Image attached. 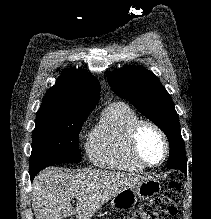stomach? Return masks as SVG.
Masks as SVG:
<instances>
[{
    "instance_id": "stomach-1",
    "label": "stomach",
    "mask_w": 211,
    "mask_h": 219,
    "mask_svg": "<svg viewBox=\"0 0 211 219\" xmlns=\"http://www.w3.org/2000/svg\"><path fill=\"white\" fill-rule=\"evenodd\" d=\"M161 190L160 182L155 178H149L131 188L122 190L111 199V207L117 211L134 208L139 199H149Z\"/></svg>"
}]
</instances>
